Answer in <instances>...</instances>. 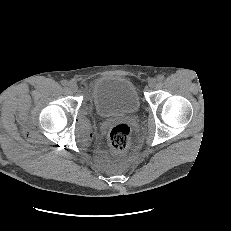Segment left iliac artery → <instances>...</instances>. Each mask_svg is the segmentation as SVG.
Here are the masks:
<instances>
[{
    "label": "left iliac artery",
    "mask_w": 231,
    "mask_h": 231,
    "mask_svg": "<svg viewBox=\"0 0 231 231\" xmlns=\"http://www.w3.org/2000/svg\"><path fill=\"white\" fill-rule=\"evenodd\" d=\"M157 80H158L159 82H162V81L164 80V76H163V75H159V76L157 77Z\"/></svg>",
    "instance_id": "obj_1"
}]
</instances>
